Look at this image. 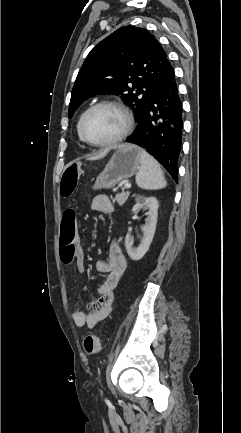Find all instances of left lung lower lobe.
<instances>
[{
	"mask_svg": "<svg viewBox=\"0 0 241 433\" xmlns=\"http://www.w3.org/2000/svg\"><path fill=\"white\" fill-rule=\"evenodd\" d=\"M182 131V103L174 69L170 66L161 86L141 113L135 132L126 141L145 148L178 180Z\"/></svg>",
	"mask_w": 241,
	"mask_h": 433,
	"instance_id": "left-lung-lower-lobe-1",
	"label": "left lung lower lobe"
}]
</instances>
